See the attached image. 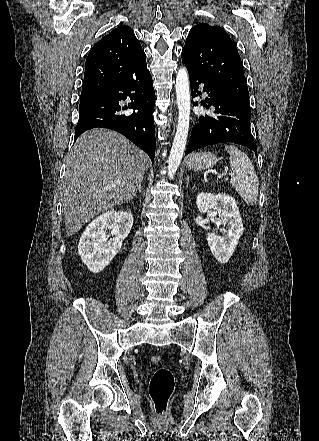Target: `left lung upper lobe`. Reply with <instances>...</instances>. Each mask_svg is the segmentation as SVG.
Here are the masks:
<instances>
[{
  "label": "left lung upper lobe",
  "instance_id": "left-lung-upper-lobe-1",
  "mask_svg": "<svg viewBox=\"0 0 319 441\" xmlns=\"http://www.w3.org/2000/svg\"><path fill=\"white\" fill-rule=\"evenodd\" d=\"M186 68L221 85L250 107L243 66L235 44L220 27L198 23L190 30L182 50Z\"/></svg>",
  "mask_w": 319,
  "mask_h": 441
}]
</instances>
